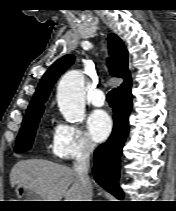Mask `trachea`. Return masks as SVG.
<instances>
[{
  "label": "trachea",
  "instance_id": "1",
  "mask_svg": "<svg viewBox=\"0 0 176 211\" xmlns=\"http://www.w3.org/2000/svg\"><path fill=\"white\" fill-rule=\"evenodd\" d=\"M113 96H114V89H112V90L107 94L106 99H107V101H108L109 103H112V102H113Z\"/></svg>",
  "mask_w": 176,
  "mask_h": 211
}]
</instances>
